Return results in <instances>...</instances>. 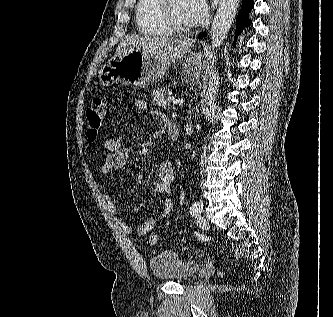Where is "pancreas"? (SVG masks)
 Here are the masks:
<instances>
[{"mask_svg": "<svg viewBox=\"0 0 333 317\" xmlns=\"http://www.w3.org/2000/svg\"><path fill=\"white\" fill-rule=\"evenodd\" d=\"M171 93V90L167 87L155 89L152 94V100L160 107H170L168 98L170 97Z\"/></svg>", "mask_w": 333, "mask_h": 317, "instance_id": "obj_1", "label": "pancreas"}]
</instances>
